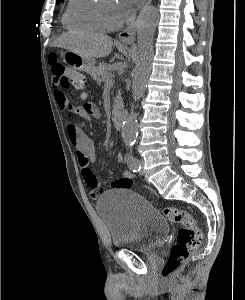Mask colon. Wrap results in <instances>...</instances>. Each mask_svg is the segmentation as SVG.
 <instances>
[{
  "mask_svg": "<svg viewBox=\"0 0 245 300\" xmlns=\"http://www.w3.org/2000/svg\"><path fill=\"white\" fill-rule=\"evenodd\" d=\"M49 63L54 77L58 79L63 88L72 87L78 91L84 89L85 79L81 73L60 63L56 56H51ZM164 215L170 222L181 224L176 243L162 268L163 277L170 278L199 246L202 240V231L194 217L185 210L166 207Z\"/></svg>",
  "mask_w": 245,
  "mask_h": 300,
  "instance_id": "obj_1",
  "label": "colon"
}]
</instances>
